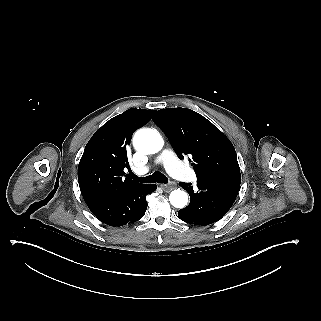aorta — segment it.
<instances>
[{
  "label": "aorta",
  "mask_w": 321,
  "mask_h": 321,
  "mask_svg": "<svg viewBox=\"0 0 321 321\" xmlns=\"http://www.w3.org/2000/svg\"><path fill=\"white\" fill-rule=\"evenodd\" d=\"M133 145L137 151L144 154H155L159 152L164 140L155 129H140L133 138ZM169 201L175 208H184L188 203V195L184 190L176 189L169 195Z\"/></svg>",
  "instance_id": "obj_1"
}]
</instances>
